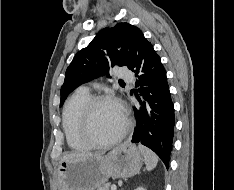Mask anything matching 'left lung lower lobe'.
Here are the masks:
<instances>
[{"label": "left lung lower lobe", "instance_id": "0a47b994", "mask_svg": "<svg viewBox=\"0 0 234 190\" xmlns=\"http://www.w3.org/2000/svg\"><path fill=\"white\" fill-rule=\"evenodd\" d=\"M130 70L138 77V89L134 94L140 101L139 107L134 108L137 124L131 142L152 149L169 168L175 126L174 106L164 66L147 40Z\"/></svg>", "mask_w": 234, "mask_h": 190}]
</instances>
